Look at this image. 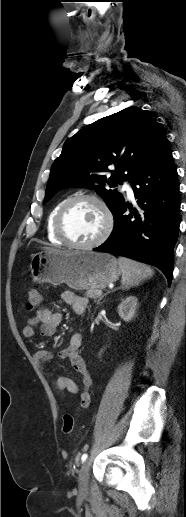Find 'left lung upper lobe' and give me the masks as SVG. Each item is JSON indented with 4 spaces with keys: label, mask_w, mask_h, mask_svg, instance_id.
<instances>
[{
    "label": "left lung upper lobe",
    "mask_w": 186,
    "mask_h": 517,
    "mask_svg": "<svg viewBox=\"0 0 186 517\" xmlns=\"http://www.w3.org/2000/svg\"><path fill=\"white\" fill-rule=\"evenodd\" d=\"M165 137L157 122L137 107L97 120L65 141L51 167L43 203L61 189L88 187L96 189L114 214L124 197L104 186L131 180ZM109 167L114 171L107 178L103 173Z\"/></svg>",
    "instance_id": "obj_1"
}]
</instances>
